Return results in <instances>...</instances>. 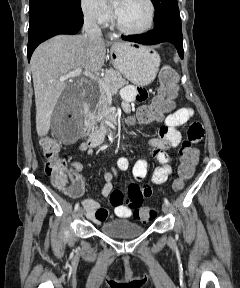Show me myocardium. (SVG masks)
<instances>
[{"instance_id":"1","label":"myocardium","mask_w":240,"mask_h":288,"mask_svg":"<svg viewBox=\"0 0 240 288\" xmlns=\"http://www.w3.org/2000/svg\"><path fill=\"white\" fill-rule=\"evenodd\" d=\"M146 2L150 8V20H149V23L146 27H144L142 29H138V30L130 29L123 24V22L121 21V19L118 16V14H116V16H115L116 26L121 31H123L124 33L133 34V35L143 34V33L148 32L149 30H151L153 28L154 22H155L156 8H155V5H154L152 0H146Z\"/></svg>"}]
</instances>
